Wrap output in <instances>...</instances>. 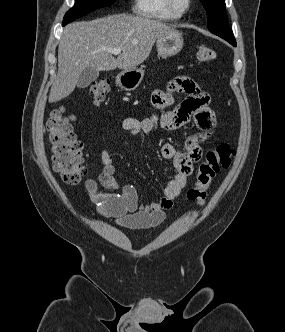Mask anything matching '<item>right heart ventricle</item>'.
Listing matches in <instances>:
<instances>
[{"instance_id": "obj_1", "label": "right heart ventricle", "mask_w": 285, "mask_h": 332, "mask_svg": "<svg viewBox=\"0 0 285 332\" xmlns=\"http://www.w3.org/2000/svg\"><path fill=\"white\" fill-rule=\"evenodd\" d=\"M133 11L138 16L158 21L180 18L168 8L165 0H134Z\"/></svg>"}]
</instances>
